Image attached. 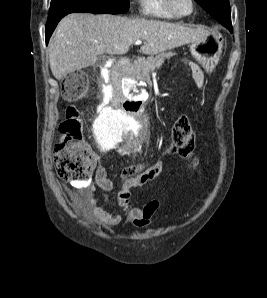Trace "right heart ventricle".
Returning a JSON list of instances; mask_svg holds the SVG:
<instances>
[{
    "label": "right heart ventricle",
    "mask_w": 267,
    "mask_h": 298,
    "mask_svg": "<svg viewBox=\"0 0 267 298\" xmlns=\"http://www.w3.org/2000/svg\"><path fill=\"white\" fill-rule=\"evenodd\" d=\"M141 16L159 20H174L177 17L164 6L163 0H138Z\"/></svg>",
    "instance_id": "right-heart-ventricle-1"
}]
</instances>
